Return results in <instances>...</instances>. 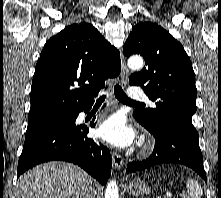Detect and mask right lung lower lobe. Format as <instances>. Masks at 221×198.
<instances>
[{
	"mask_svg": "<svg viewBox=\"0 0 221 198\" xmlns=\"http://www.w3.org/2000/svg\"><path fill=\"white\" fill-rule=\"evenodd\" d=\"M91 106L82 111H88ZM91 126L95 124L92 122ZM87 133L86 126H78L74 122L68 126L48 128L25 138L18 161L17 178L37 164L47 161H67L82 167L105 185L111 174L110 152L107 147L87 138Z\"/></svg>",
	"mask_w": 221,
	"mask_h": 198,
	"instance_id": "1",
	"label": "right lung lower lobe"
}]
</instances>
